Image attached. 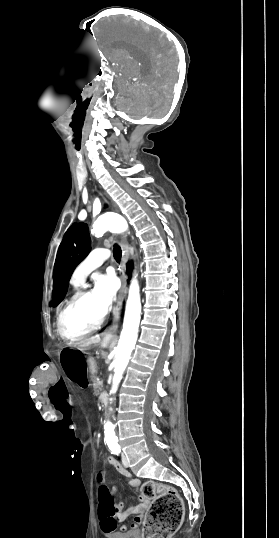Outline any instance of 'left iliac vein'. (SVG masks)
Segmentation results:
<instances>
[{
  "mask_svg": "<svg viewBox=\"0 0 279 538\" xmlns=\"http://www.w3.org/2000/svg\"><path fill=\"white\" fill-rule=\"evenodd\" d=\"M122 463L125 467L129 466L128 459L124 453H122Z\"/></svg>",
  "mask_w": 279,
  "mask_h": 538,
  "instance_id": "4c4485c4",
  "label": "left iliac vein"
}]
</instances>
